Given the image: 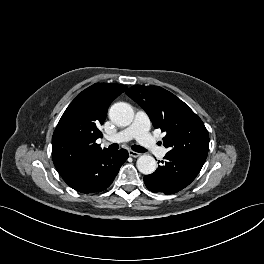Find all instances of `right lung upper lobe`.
<instances>
[{"instance_id":"obj_1","label":"right lung upper lobe","mask_w":264,"mask_h":264,"mask_svg":"<svg viewBox=\"0 0 264 264\" xmlns=\"http://www.w3.org/2000/svg\"><path fill=\"white\" fill-rule=\"evenodd\" d=\"M127 89L120 84L96 83L80 94L67 107L52 138V158L61 174L108 151L96 140L111 102Z\"/></svg>"}]
</instances>
